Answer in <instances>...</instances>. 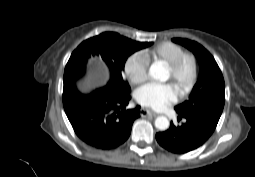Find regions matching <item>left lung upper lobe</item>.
Wrapping results in <instances>:
<instances>
[{"instance_id": "obj_1", "label": "left lung upper lobe", "mask_w": 255, "mask_h": 177, "mask_svg": "<svg viewBox=\"0 0 255 177\" xmlns=\"http://www.w3.org/2000/svg\"><path fill=\"white\" fill-rule=\"evenodd\" d=\"M196 56L199 76L189 99L175 107L183 116L201 117L218 123L225 103L224 78L214 57L197 42L185 38H173Z\"/></svg>"}]
</instances>
